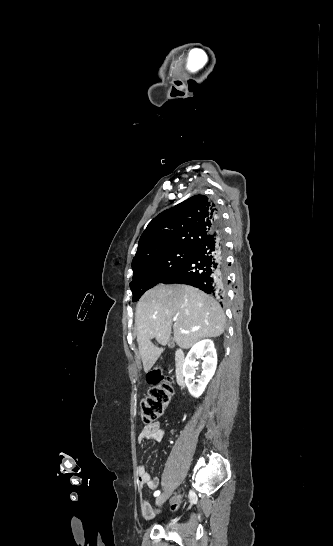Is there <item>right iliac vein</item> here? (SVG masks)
<instances>
[{
  "label": "right iliac vein",
  "mask_w": 333,
  "mask_h": 546,
  "mask_svg": "<svg viewBox=\"0 0 333 546\" xmlns=\"http://www.w3.org/2000/svg\"><path fill=\"white\" fill-rule=\"evenodd\" d=\"M171 493H172V489L162 493L160 496H158L156 498L155 504L156 505L163 504L168 499V497L171 495Z\"/></svg>",
  "instance_id": "63e3f726"
}]
</instances>
